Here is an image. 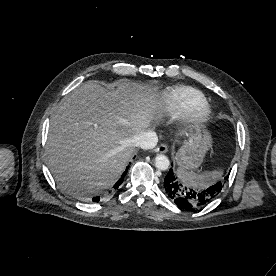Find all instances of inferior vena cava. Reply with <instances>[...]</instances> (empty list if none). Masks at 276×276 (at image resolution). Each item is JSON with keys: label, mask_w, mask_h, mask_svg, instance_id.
Here are the masks:
<instances>
[{"label": "inferior vena cava", "mask_w": 276, "mask_h": 276, "mask_svg": "<svg viewBox=\"0 0 276 276\" xmlns=\"http://www.w3.org/2000/svg\"><path fill=\"white\" fill-rule=\"evenodd\" d=\"M131 143L135 147L148 150L154 148L157 145L158 137L154 131L148 130L134 136L131 139Z\"/></svg>", "instance_id": "inferior-vena-cava-1"}]
</instances>
